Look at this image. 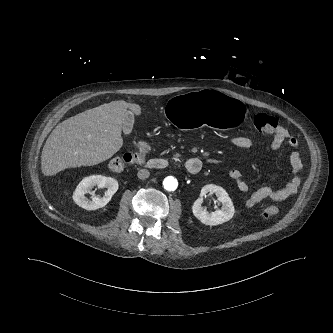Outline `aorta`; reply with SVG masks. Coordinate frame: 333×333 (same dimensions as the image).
Here are the masks:
<instances>
[{
	"label": "aorta",
	"mask_w": 333,
	"mask_h": 333,
	"mask_svg": "<svg viewBox=\"0 0 333 333\" xmlns=\"http://www.w3.org/2000/svg\"><path fill=\"white\" fill-rule=\"evenodd\" d=\"M164 188L168 191H174L178 187V181L172 176H168L163 180Z\"/></svg>",
	"instance_id": "obj_1"
}]
</instances>
